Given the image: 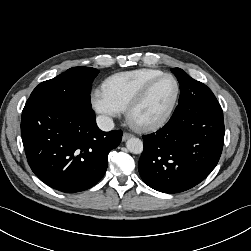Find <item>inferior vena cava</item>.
I'll return each mask as SVG.
<instances>
[{
    "instance_id": "1",
    "label": "inferior vena cava",
    "mask_w": 251,
    "mask_h": 251,
    "mask_svg": "<svg viewBox=\"0 0 251 251\" xmlns=\"http://www.w3.org/2000/svg\"><path fill=\"white\" fill-rule=\"evenodd\" d=\"M98 127L102 131H111L114 128V122L112 118L104 115H100L96 119Z\"/></svg>"
}]
</instances>
